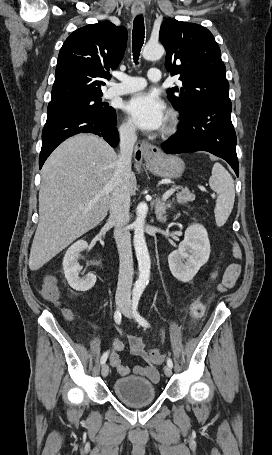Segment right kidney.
<instances>
[{
    "label": "right kidney",
    "instance_id": "ca27d5eb",
    "mask_svg": "<svg viewBox=\"0 0 272 455\" xmlns=\"http://www.w3.org/2000/svg\"><path fill=\"white\" fill-rule=\"evenodd\" d=\"M86 248H88V243L84 240H78L68 248L63 259L65 278L70 287L76 291H88L96 283V276L92 273L88 274L85 279L79 277L78 257L80 252Z\"/></svg>",
    "mask_w": 272,
    "mask_h": 455
}]
</instances>
